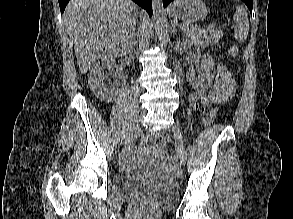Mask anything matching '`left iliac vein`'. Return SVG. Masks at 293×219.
I'll use <instances>...</instances> for the list:
<instances>
[{"instance_id": "left-iliac-vein-1", "label": "left iliac vein", "mask_w": 293, "mask_h": 219, "mask_svg": "<svg viewBox=\"0 0 293 219\" xmlns=\"http://www.w3.org/2000/svg\"><path fill=\"white\" fill-rule=\"evenodd\" d=\"M172 132H173V135H174V138H175V145H176V150H177V153H178L180 163L185 164V162H186V151H185V147H184L182 131H181V128L179 127L178 124H175L172 127Z\"/></svg>"}]
</instances>
